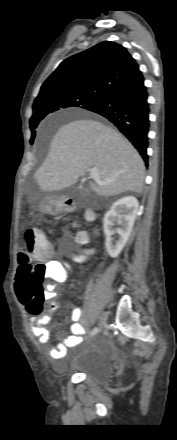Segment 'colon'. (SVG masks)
<instances>
[{
  "instance_id": "5ec220e1",
  "label": "colon",
  "mask_w": 177,
  "mask_h": 440,
  "mask_svg": "<svg viewBox=\"0 0 177 440\" xmlns=\"http://www.w3.org/2000/svg\"><path fill=\"white\" fill-rule=\"evenodd\" d=\"M89 240L86 232L72 235V241L84 245ZM52 254L50 243L40 230H28L24 234L19 250V273L16 281V293L19 300L26 304L32 315H38L48 294L45 280L49 277L45 259Z\"/></svg>"
}]
</instances>
